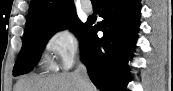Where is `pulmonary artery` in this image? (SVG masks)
I'll use <instances>...</instances> for the list:
<instances>
[{
  "label": "pulmonary artery",
  "mask_w": 173,
  "mask_h": 91,
  "mask_svg": "<svg viewBox=\"0 0 173 91\" xmlns=\"http://www.w3.org/2000/svg\"><path fill=\"white\" fill-rule=\"evenodd\" d=\"M82 8L87 13H90L93 10V7L89 1H84L82 4Z\"/></svg>",
  "instance_id": "pulmonary-artery-1"
}]
</instances>
